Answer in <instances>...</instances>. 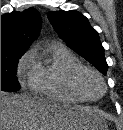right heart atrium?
<instances>
[{
    "label": "right heart atrium",
    "mask_w": 123,
    "mask_h": 130,
    "mask_svg": "<svg viewBox=\"0 0 123 130\" xmlns=\"http://www.w3.org/2000/svg\"><path fill=\"white\" fill-rule=\"evenodd\" d=\"M35 54L32 50H29L20 60L18 64V76L20 79L28 78L30 81L34 73V62Z\"/></svg>",
    "instance_id": "1"
}]
</instances>
